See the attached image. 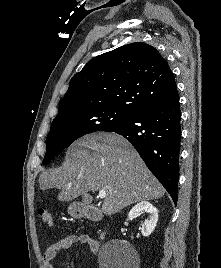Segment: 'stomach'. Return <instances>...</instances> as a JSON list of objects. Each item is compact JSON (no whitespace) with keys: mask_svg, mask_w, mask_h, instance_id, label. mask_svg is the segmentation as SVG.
<instances>
[{"mask_svg":"<svg viewBox=\"0 0 221 268\" xmlns=\"http://www.w3.org/2000/svg\"><path fill=\"white\" fill-rule=\"evenodd\" d=\"M68 212L73 217H82L85 214V210L83 208H79L76 204H71L68 207Z\"/></svg>","mask_w":221,"mask_h":268,"instance_id":"stomach-1","label":"stomach"}]
</instances>
